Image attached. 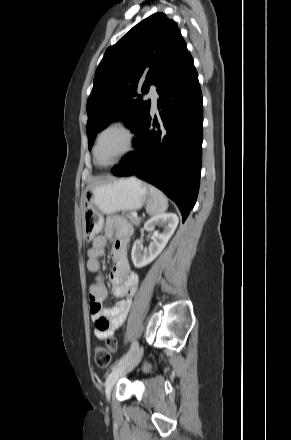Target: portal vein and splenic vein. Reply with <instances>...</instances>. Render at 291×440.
I'll return each instance as SVG.
<instances>
[{"label":"portal vein and splenic vein","instance_id":"1","mask_svg":"<svg viewBox=\"0 0 291 440\" xmlns=\"http://www.w3.org/2000/svg\"><path fill=\"white\" fill-rule=\"evenodd\" d=\"M132 216H133V217H137L138 215H137L136 212H133V213H132Z\"/></svg>","mask_w":291,"mask_h":440}]
</instances>
